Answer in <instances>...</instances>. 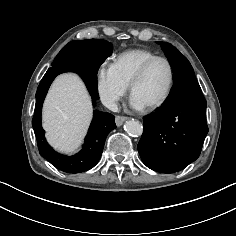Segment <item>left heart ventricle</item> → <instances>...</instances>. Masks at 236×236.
Segmentation results:
<instances>
[{
    "label": "left heart ventricle",
    "mask_w": 236,
    "mask_h": 236,
    "mask_svg": "<svg viewBox=\"0 0 236 236\" xmlns=\"http://www.w3.org/2000/svg\"><path fill=\"white\" fill-rule=\"evenodd\" d=\"M169 76V68L165 62L154 63L135 88L133 96L138 98L144 106L157 101L167 89Z\"/></svg>",
    "instance_id": "left-heart-ventricle-1"
}]
</instances>
